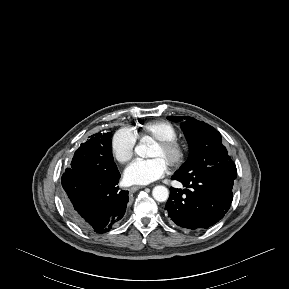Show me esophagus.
I'll use <instances>...</instances> for the list:
<instances>
[{"label":"esophagus","instance_id":"esophagus-1","mask_svg":"<svg viewBox=\"0 0 289 289\" xmlns=\"http://www.w3.org/2000/svg\"><path fill=\"white\" fill-rule=\"evenodd\" d=\"M140 188H143V187L142 186H132V187L129 188V191L130 192H135V191H137Z\"/></svg>","mask_w":289,"mask_h":289}]
</instances>
